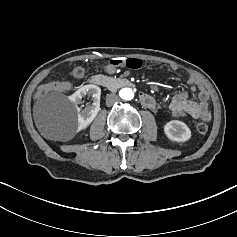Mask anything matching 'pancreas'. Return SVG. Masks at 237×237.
I'll return each mask as SVG.
<instances>
[{
  "instance_id": "1",
  "label": "pancreas",
  "mask_w": 237,
  "mask_h": 237,
  "mask_svg": "<svg viewBox=\"0 0 237 237\" xmlns=\"http://www.w3.org/2000/svg\"><path fill=\"white\" fill-rule=\"evenodd\" d=\"M121 80L119 78H110L109 80L106 81V87L107 88H113V89H118L119 88V82Z\"/></svg>"
}]
</instances>
